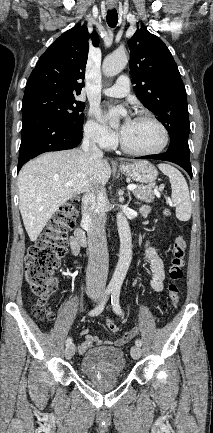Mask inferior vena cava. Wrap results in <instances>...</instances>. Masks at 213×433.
I'll return each instance as SVG.
<instances>
[{
    "instance_id": "1",
    "label": "inferior vena cava",
    "mask_w": 213,
    "mask_h": 433,
    "mask_svg": "<svg viewBox=\"0 0 213 433\" xmlns=\"http://www.w3.org/2000/svg\"><path fill=\"white\" fill-rule=\"evenodd\" d=\"M82 150L95 157H103L92 135L86 133ZM107 195L104 187H94L82 197V221L87 227L88 268L87 292L102 293L106 287L109 257L105 232Z\"/></svg>"
}]
</instances>
